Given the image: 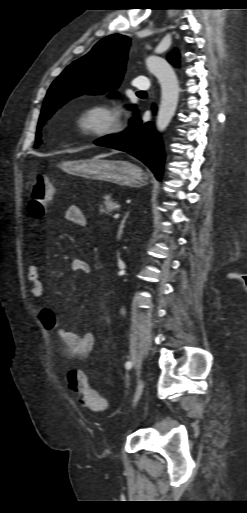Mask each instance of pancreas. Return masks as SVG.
<instances>
[{
    "instance_id": "cf45deb5",
    "label": "pancreas",
    "mask_w": 247,
    "mask_h": 513,
    "mask_svg": "<svg viewBox=\"0 0 247 513\" xmlns=\"http://www.w3.org/2000/svg\"><path fill=\"white\" fill-rule=\"evenodd\" d=\"M119 208L120 206L117 202L113 201L111 196H106L103 204L100 206V212L101 214L112 216Z\"/></svg>"
}]
</instances>
